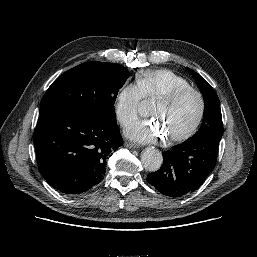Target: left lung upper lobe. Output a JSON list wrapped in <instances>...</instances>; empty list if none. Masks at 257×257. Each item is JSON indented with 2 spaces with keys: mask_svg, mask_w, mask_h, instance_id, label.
I'll return each instance as SVG.
<instances>
[{
  "mask_svg": "<svg viewBox=\"0 0 257 257\" xmlns=\"http://www.w3.org/2000/svg\"><path fill=\"white\" fill-rule=\"evenodd\" d=\"M188 71L196 80L203 94L205 105L203 123L197 133L188 140L210 138L220 141L223 135V124L219 98L212 86L203 77L191 69Z\"/></svg>",
  "mask_w": 257,
  "mask_h": 257,
  "instance_id": "5c2ea615",
  "label": "left lung upper lobe"
}]
</instances>
